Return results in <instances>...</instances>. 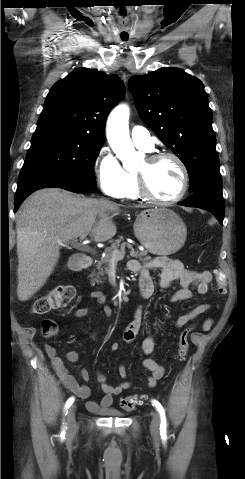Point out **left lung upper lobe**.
Returning <instances> with one entry per match:
<instances>
[{"instance_id":"left-lung-upper-lobe-1","label":"left lung upper lobe","mask_w":245,"mask_h":479,"mask_svg":"<svg viewBox=\"0 0 245 479\" xmlns=\"http://www.w3.org/2000/svg\"><path fill=\"white\" fill-rule=\"evenodd\" d=\"M138 112L184 163L190 187L220 178L212 113L202 82L179 68H160L130 78Z\"/></svg>"}]
</instances>
